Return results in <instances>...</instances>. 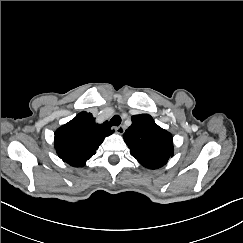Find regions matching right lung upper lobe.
<instances>
[{"label":"right lung upper lobe","mask_w":243,"mask_h":243,"mask_svg":"<svg viewBox=\"0 0 243 243\" xmlns=\"http://www.w3.org/2000/svg\"><path fill=\"white\" fill-rule=\"evenodd\" d=\"M112 133L107 122L96 124L92 114L81 112L56 130L54 146L64 162L82 167L96 153L104 138Z\"/></svg>","instance_id":"cb5924a9"}]
</instances>
